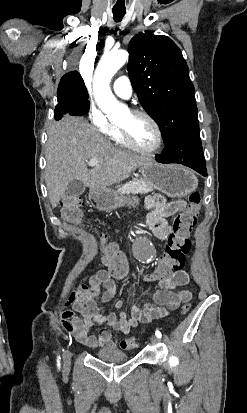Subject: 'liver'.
<instances>
[{
  "label": "liver",
  "mask_w": 247,
  "mask_h": 413,
  "mask_svg": "<svg viewBox=\"0 0 247 413\" xmlns=\"http://www.w3.org/2000/svg\"><path fill=\"white\" fill-rule=\"evenodd\" d=\"M45 180L52 209L58 207L70 180H82L91 190H103L130 176L149 158L115 148L82 116L65 114L48 132ZM89 158L100 162L88 168Z\"/></svg>",
  "instance_id": "obj_1"
}]
</instances>
